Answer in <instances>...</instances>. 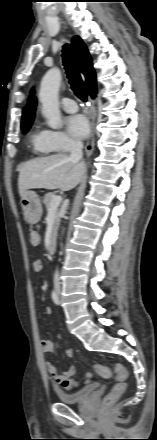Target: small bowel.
<instances>
[{
    "mask_svg": "<svg viewBox=\"0 0 157 440\" xmlns=\"http://www.w3.org/2000/svg\"><path fill=\"white\" fill-rule=\"evenodd\" d=\"M33 268H34V270L36 272H39L42 269V267L41 268H36L34 266H33ZM45 312L48 315L51 314V312H52L51 308L47 307L45 309ZM40 344H41L42 351L44 353H51V352L54 351L55 344H54V342L52 340H50V339H43V340H41ZM66 356L68 358H73L74 357V350L73 349H67L66 350ZM45 366H46L47 372L53 378L54 382L56 384H58V385H62L64 380H66L68 378H71L72 376H74L76 374V367L74 365L69 366L68 369L64 373H62V374H59L57 372L55 366L51 362H49V361L46 362Z\"/></svg>",
    "mask_w": 157,
    "mask_h": 440,
    "instance_id": "1",
    "label": "small bowel"
}]
</instances>
